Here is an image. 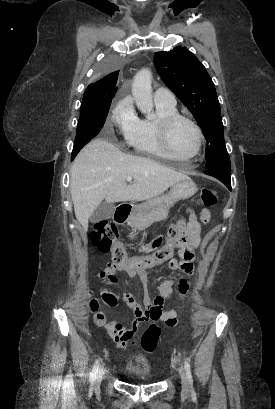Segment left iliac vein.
Returning <instances> with one entry per match:
<instances>
[{
  "label": "left iliac vein",
  "mask_w": 275,
  "mask_h": 409,
  "mask_svg": "<svg viewBox=\"0 0 275 409\" xmlns=\"http://www.w3.org/2000/svg\"><path fill=\"white\" fill-rule=\"evenodd\" d=\"M181 383H182V389L184 392H189V382L187 380V375L182 367L179 368L178 370Z\"/></svg>",
  "instance_id": "obj_1"
}]
</instances>
